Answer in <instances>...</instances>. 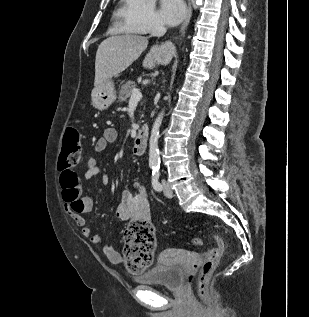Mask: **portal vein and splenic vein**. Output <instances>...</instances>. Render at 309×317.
Segmentation results:
<instances>
[{
	"label": "portal vein and splenic vein",
	"instance_id": "18ae733b",
	"mask_svg": "<svg viewBox=\"0 0 309 317\" xmlns=\"http://www.w3.org/2000/svg\"><path fill=\"white\" fill-rule=\"evenodd\" d=\"M141 98H142V93L138 89L134 88L130 96L129 106L137 105V103L141 100Z\"/></svg>",
	"mask_w": 309,
	"mask_h": 317
}]
</instances>
